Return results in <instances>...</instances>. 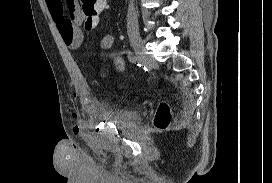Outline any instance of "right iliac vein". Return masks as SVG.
I'll return each mask as SVG.
<instances>
[{"instance_id":"1","label":"right iliac vein","mask_w":272,"mask_h":183,"mask_svg":"<svg viewBox=\"0 0 272 183\" xmlns=\"http://www.w3.org/2000/svg\"><path fill=\"white\" fill-rule=\"evenodd\" d=\"M131 45L137 54L138 60L141 64H146L148 56L144 47V42L138 32H131L129 35Z\"/></svg>"}]
</instances>
